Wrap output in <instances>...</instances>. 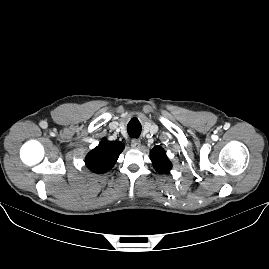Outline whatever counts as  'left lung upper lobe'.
Here are the masks:
<instances>
[{
	"mask_svg": "<svg viewBox=\"0 0 269 269\" xmlns=\"http://www.w3.org/2000/svg\"><path fill=\"white\" fill-rule=\"evenodd\" d=\"M153 166L159 173H168L172 167L166 152L160 146H155L150 152Z\"/></svg>",
	"mask_w": 269,
	"mask_h": 269,
	"instance_id": "5c2ea615",
	"label": "left lung upper lobe"
}]
</instances>
